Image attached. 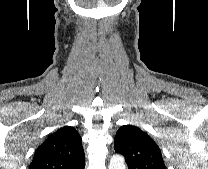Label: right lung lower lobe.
Returning a JSON list of instances; mask_svg holds the SVG:
<instances>
[{
  "label": "right lung lower lobe",
  "mask_w": 208,
  "mask_h": 169,
  "mask_svg": "<svg viewBox=\"0 0 208 169\" xmlns=\"http://www.w3.org/2000/svg\"><path fill=\"white\" fill-rule=\"evenodd\" d=\"M84 166H85V164L83 166L79 167L78 169H84Z\"/></svg>",
  "instance_id": "1"
}]
</instances>
